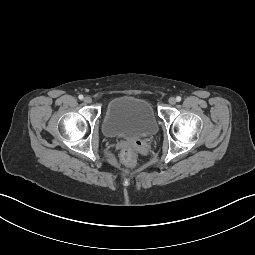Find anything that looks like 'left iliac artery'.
Returning a JSON list of instances; mask_svg holds the SVG:
<instances>
[{
  "instance_id": "1",
  "label": "left iliac artery",
  "mask_w": 255,
  "mask_h": 255,
  "mask_svg": "<svg viewBox=\"0 0 255 255\" xmlns=\"http://www.w3.org/2000/svg\"><path fill=\"white\" fill-rule=\"evenodd\" d=\"M176 101H177V102H180V101H181V97H180V96H177V97H176Z\"/></svg>"
}]
</instances>
